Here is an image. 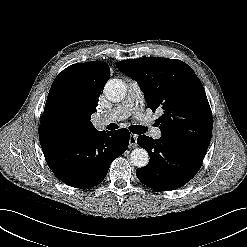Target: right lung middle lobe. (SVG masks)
Returning a JSON list of instances; mask_svg holds the SVG:
<instances>
[{
	"mask_svg": "<svg viewBox=\"0 0 247 247\" xmlns=\"http://www.w3.org/2000/svg\"><path fill=\"white\" fill-rule=\"evenodd\" d=\"M67 98V92H63V99ZM68 107L66 102H61L58 106L53 110L48 118V124L53 129H58L62 126L64 120L67 116Z\"/></svg>",
	"mask_w": 247,
	"mask_h": 247,
	"instance_id": "right-lung-middle-lobe-1",
	"label": "right lung middle lobe"
}]
</instances>
